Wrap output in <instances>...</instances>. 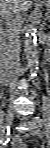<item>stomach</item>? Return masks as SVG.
I'll return each instance as SVG.
<instances>
[{
	"instance_id": "1",
	"label": "stomach",
	"mask_w": 50,
	"mask_h": 148,
	"mask_svg": "<svg viewBox=\"0 0 50 148\" xmlns=\"http://www.w3.org/2000/svg\"><path fill=\"white\" fill-rule=\"evenodd\" d=\"M43 3H46V4H49V1L48 0H44L42 1Z\"/></svg>"
}]
</instances>
